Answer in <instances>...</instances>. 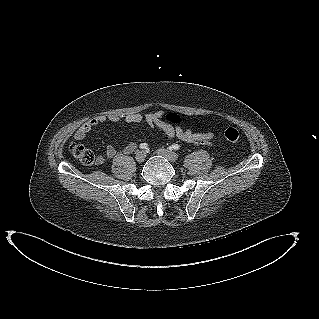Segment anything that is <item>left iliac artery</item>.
<instances>
[{"label":"left iliac artery","instance_id":"obj_1","mask_svg":"<svg viewBox=\"0 0 319 319\" xmlns=\"http://www.w3.org/2000/svg\"><path fill=\"white\" fill-rule=\"evenodd\" d=\"M170 148L173 150H178L180 149V146L178 144H172Z\"/></svg>","mask_w":319,"mask_h":319}]
</instances>
